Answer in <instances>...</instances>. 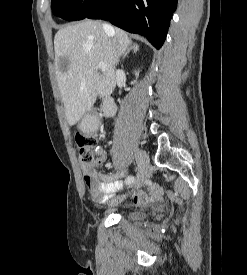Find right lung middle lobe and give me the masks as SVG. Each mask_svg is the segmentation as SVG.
<instances>
[{
	"instance_id": "dd1d6c3e",
	"label": "right lung middle lobe",
	"mask_w": 247,
	"mask_h": 275,
	"mask_svg": "<svg viewBox=\"0 0 247 275\" xmlns=\"http://www.w3.org/2000/svg\"><path fill=\"white\" fill-rule=\"evenodd\" d=\"M105 0H52L53 14L65 20H82Z\"/></svg>"
}]
</instances>
